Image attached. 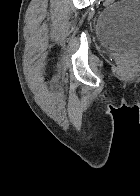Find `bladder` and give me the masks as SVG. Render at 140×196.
I'll return each instance as SVG.
<instances>
[{"mask_svg": "<svg viewBox=\"0 0 140 196\" xmlns=\"http://www.w3.org/2000/svg\"><path fill=\"white\" fill-rule=\"evenodd\" d=\"M97 39L110 50L140 52V0H121L104 8L97 19Z\"/></svg>", "mask_w": 140, "mask_h": 196, "instance_id": "obj_1", "label": "bladder"}]
</instances>
